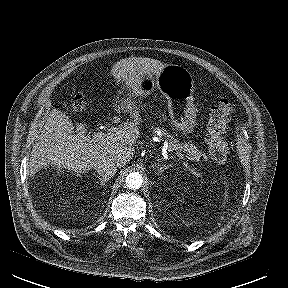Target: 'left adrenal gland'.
<instances>
[{
	"mask_svg": "<svg viewBox=\"0 0 288 288\" xmlns=\"http://www.w3.org/2000/svg\"><path fill=\"white\" fill-rule=\"evenodd\" d=\"M155 166H156V165H155ZM157 168H158V172H159L160 174H162V172H163L164 170L168 169L169 166L164 165V166L162 167V166H160V165L158 164V165H157Z\"/></svg>",
	"mask_w": 288,
	"mask_h": 288,
	"instance_id": "1",
	"label": "left adrenal gland"
}]
</instances>
